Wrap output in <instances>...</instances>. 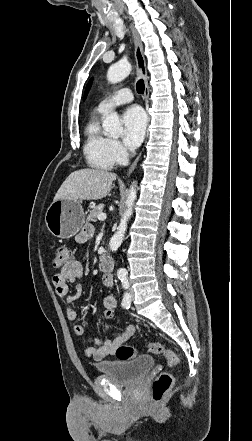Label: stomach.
I'll use <instances>...</instances> for the list:
<instances>
[{"label":"stomach","instance_id":"0dacf381","mask_svg":"<svg viewBox=\"0 0 252 441\" xmlns=\"http://www.w3.org/2000/svg\"><path fill=\"white\" fill-rule=\"evenodd\" d=\"M84 222L85 214L80 200H54L45 215L48 230L60 239H69L75 236Z\"/></svg>","mask_w":252,"mask_h":441}]
</instances>
